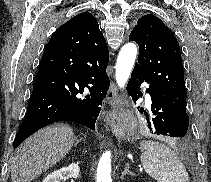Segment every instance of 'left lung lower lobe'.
I'll list each match as a JSON object with an SVG mask.
<instances>
[{
    "instance_id": "obj_1",
    "label": "left lung lower lobe",
    "mask_w": 211,
    "mask_h": 182,
    "mask_svg": "<svg viewBox=\"0 0 211 182\" xmlns=\"http://www.w3.org/2000/svg\"><path fill=\"white\" fill-rule=\"evenodd\" d=\"M148 82L144 75L137 69H133L131 78L127 85V92L136 103L143 94L140 91V85ZM152 99L151 115L146 114L149 130L153 134L165 135L179 138V144H188L187 130L189 126V117L183 109L173 101L158 92L151 84L146 90Z\"/></svg>"
}]
</instances>
